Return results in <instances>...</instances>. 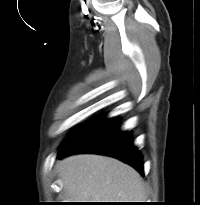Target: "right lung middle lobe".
Wrapping results in <instances>:
<instances>
[{
  "label": "right lung middle lobe",
  "instance_id": "obj_1",
  "mask_svg": "<svg viewBox=\"0 0 200 205\" xmlns=\"http://www.w3.org/2000/svg\"><path fill=\"white\" fill-rule=\"evenodd\" d=\"M95 121V120H94ZM94 121H91L89 123H87L86 125L76 129L73 133H71L67 139L63 142L62 146L66 145L67 143H69L73 138H75L80 132H82L85 128H87L89 125H91Z\"/></svg>",
  "mask_w": 200,
  "mask_h": 205
}]
</instances>
